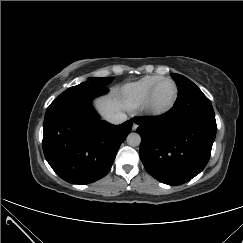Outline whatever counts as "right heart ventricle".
<instances>
[{"mask_svg":"<svg viewBox=\"0 0 243 243\" xmlns=\"http://www.w3.org/2000/svg\"><path fill=\"white\" fill-rule=\"evenodd\" d=\"M162 79L164 77L160 75H147L137 81L125 84L122 87L121 93L126 107L136 109L142 106L151 89Z\"/></svg>","mask_w":243,"mask_h":243,"instance_id":"right-heart-ventricle-1","label":"right heart ventricle"}]
</instances>
